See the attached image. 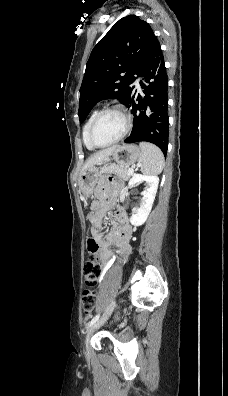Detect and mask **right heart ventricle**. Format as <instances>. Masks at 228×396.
<instances>
[{"label": "right heart ventricle", "mask_w": 228, "mask_h": 396, "mask_svg": "<svg viewBox=\"0 0 228 396\" xmlns=\"http://www.w3.org/2000/svg\"><path fill=\"white\" fill-rule=\"evenodd\" d=\"M98 113L97 110H94L90 116L88 117L87 121L85 122L84 126H83V130H82V137H83V142L86 146L87 149L89 150H93L94 148L90 145L89 140H88V131L90 128V125L94 119V117L96 116V114Z\"/></svg>", "instance_id": "e07e8e85"}]
</instances>
